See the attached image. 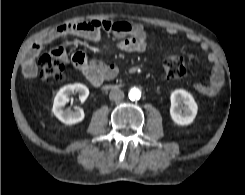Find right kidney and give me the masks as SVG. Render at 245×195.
<instances>
[{
	"mask_svg": "<svg viewBox=\"0 0 245 195\" xmlns=\"http://www.w3.org/2000/svg\"><path fill=\"white\" fill-rule=\"evenodd\" d=\"M73 93L79 94V100L83 103L89 96V89L80 83L69 84L62 87L54 98L52 112L64 124L73 125L81 122L84 117L83 109L79 108L75 111L64 109L69 97Z\"/></svg>",
	"mask_w": 245,
	"mask_h": 195,
	"instance_id": "obj_1",
	"label": "right kidney"
}]
</instances>
